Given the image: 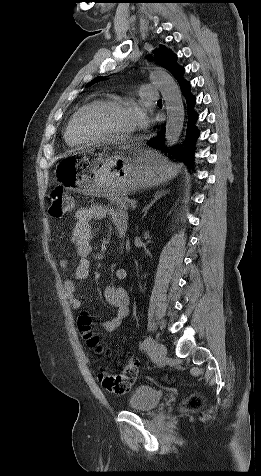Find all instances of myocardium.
<instances>
[{
    "mask_svg": "<svg viewBox=\"0 0 261 476\" xmlns=\"http://www.w3.org/2000/svg\"><path fill=\"white\" fill-rule=\"evenodd\" d=\"M136 104L129 100L118 98H102L95 99L86 105L82 106L76 113L74 119V128L79 136L85 142H106V141H127L131 138L132 132L123 135L117 134H93L88 133L83 127V118L87 112L97 107H135Z\"/></svg>",
    "mask_w": 261,
    "mask_h": 476,
    "instance_id": "myocardium-1",
    "label": "myocardium"
}]
</instances>
